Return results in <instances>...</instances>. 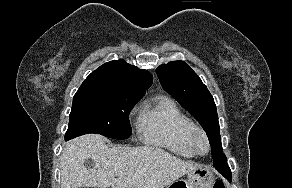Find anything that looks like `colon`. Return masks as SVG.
<instances>
[{"label": "colon", "instance_id": "colon-1", "mask_svg": "<svg viewBox=\"0 0 292 188\" xmlns=\"http://www.w3.org/2000/svg\"><path fill=\"white\" fill-rule=\"evenodd\" d=\"M213 188H225V183L222 180H217Z\"/></svg>", "mask_w": 292, "mask_h": 188}]
</instances>
